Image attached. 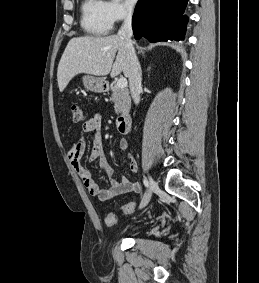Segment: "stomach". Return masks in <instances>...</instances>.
<instances>
[{"label": "stomach", "instance_id": "0dacf381", "mask_svg": "<svg viewBox=\"0 0 259 283\" xmlns=\"http://www.w3.org/2000/svg\"><path fill=\"white\" fill-rule=\"evenodd\" d=\"M82 81L84 87L91 92L102 93L107 89L106 81L103 78L86 75Z\"/></svg>", "mask_w": 259, "mask_h": 283}]
</instances>
